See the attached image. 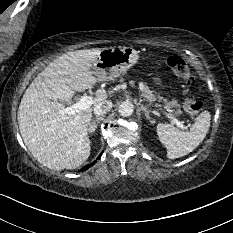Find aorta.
Segmentation results:
<instances>
[{
  "mask_svg": "<svg viewBox=\"0 0 233 233\" xmlns=\"http://www.w3.org/2000/svg\"><path fill=\"white\" fill-rule=\"evenodd\" d=\"M134 111V105L130 101H124L118 107V112L123 117L132 115Z\"/></svg>",
  "mask_w": 233,
  "mask_h": 233,
  "instance_id": "obj_1",
  "label": "aorta"
}]
</instances>
